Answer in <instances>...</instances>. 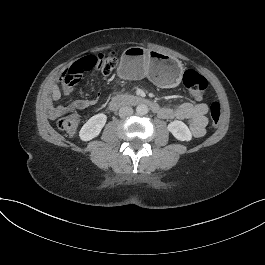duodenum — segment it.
<instances>
[{
  "mask_svg": "<svg viewBox=\"0 0 265 265\" xmlns=\"http://www.w3.org/2000/svg\"><path fill=\"white\" fill-rule=\"evenodd\" d=\"M137 105H145L151 111L157 113L158 115H161L163 112V108L160 107L159 104L156 103L155 101L134 95L116 96L111 100L109 107L111 110H117L122 106H137Z\"/></svg>",
  "mask_w": 265,
  "mask_h": 265,
  "instance_id": "1",
  "label": "duodenum"
}]
</instances>
